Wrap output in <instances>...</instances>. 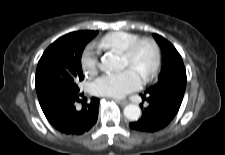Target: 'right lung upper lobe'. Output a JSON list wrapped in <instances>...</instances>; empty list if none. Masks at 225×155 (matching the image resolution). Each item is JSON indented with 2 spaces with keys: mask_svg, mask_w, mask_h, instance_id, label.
I'll return each mask as SVG.
<instances>
[{
  "mask_svg": "<svg viewBox=\"0 0 225 155\" xmlns=\"http://www.w3.org/2000/svg\"><path fill=\"white\" fill-rule=\"evenodd\" d=\"M97 31H78L69 33L62 38L64 39H92L97 35Z\"/></svg>",
  "mask_w": 225,
  "mask_h": 155,
  "instance_id": "1",
  "label": "right lung upper lobe"
}]
</instances>
